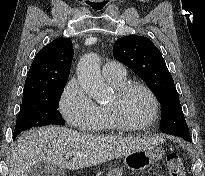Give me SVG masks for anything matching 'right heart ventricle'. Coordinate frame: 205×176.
<instances>
[{"instance_id": "obj_1", "label": "right heart ventricle", "mask_w": 205, "mask_h": 176, "mask_svg": "<svg viewBox=\"0 0 205 176\" xmlns=\"http://www.w3.org/2000/svg\"><path fill=\"white\" fill-rule=\"evenodd\" d=\"M112 87L119 89L125 85L126 78L122 80L117 79H107ZM93 129L97 134H109L115 131L116 126L114 120L109 112L108 105H99L98 106V117L93 125Z\"/></svg>"}]
</instances>
